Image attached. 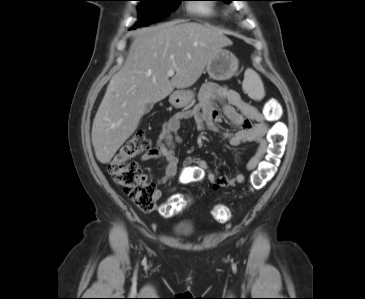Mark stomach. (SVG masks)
<instances>
[{"label": "stomach", "instance_id": "obj_1", "mask_svg": "<svg viewBox=\"0 0 365 299\" xmlns=\"http://www.w3.org/2000/svg\"><path fill=\"white\" fill-rule=\"evenodd\" d=\"M238 66L239 61L232 52L220 49L207 64L206 70L214 80H227L235 75ZM193 98V91L178 90L170 96L169 102L176 108H183L189 105Z\"/></svg>", "mask_w": 365, "mask_h": 299}]
</instances>
